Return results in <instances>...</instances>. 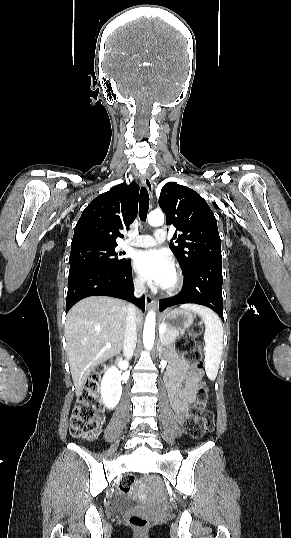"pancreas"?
<instances>
[{
    "instance_id": "obj_1",
    "label": "pancreas",
    "mask_w": 291,
    "mask_h": 538,
    "mask_svg": "<svg viewBox=\"0 0 291 538\" xmlns=\"http://www.w3.org/2000/svg\"><path fill=\"white\" fill-rule=\"evenodd\" d=\"M178 336L179 332L166 329L165 332L160 333V341H162L164 345H169L174 343Z\"/></svg>"
}]
</instances>
